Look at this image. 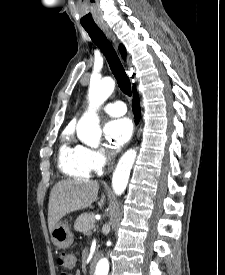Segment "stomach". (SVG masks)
<instances>
[{
    "mask_svg": "<svg viewBox=\"0 0 225 275\" xmlns=\"http://www.w3.org/2000/svg\"><path fill=\"white\" fill-rule=\"evenodd\" d=\"M51 240L56 247L61 249L71 246L74 236L70 226L64 222H58L51 231Z\"/></svg>",
    "mask_w": 225,
    "mask_h": 275,
    "instance_id": "1",
    "label": "stomach"
}]
</instances>
